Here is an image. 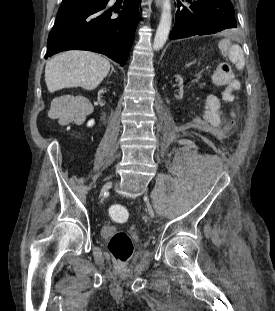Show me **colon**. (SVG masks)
<instances>
[{"mask_svg": "<svg viewBox=\"0 0 275 311\" xmlns=\"http://www.w3.org/2000/svg\"><path fill=\"white\" fill-rule=\"evenodd\" d=\"M241 65L242 59L237 62ZM237 84H229L223 93L226 101L233 100V92L237 89ZM50 115L60 121L66 122L73 116L64 110L60 105H54L50 109ZM109 214L117 220H126L129 217L128 211L121 206H111ZM108 250L119 265L124 264L133 252V242L130 236L124 231H116L112 234L108 241Z\"/></svg>", "mask_w": 275, "mask_h": 311, "instance_id": "5ec220e1", "label": "colon"}]
</instances>
